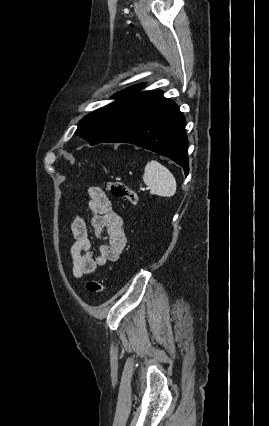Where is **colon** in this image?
Listing matches in <instances>:
<instances>
[{"label": "colon", "instance_id": "obj_1", "mask_svg": "<svg viewBox=\"0 0 269 426\" xmlns=\"http://www.w3.org/2000/svg\"><path fill=\"white\" fill-rule=\"evenodd\" d=\"M108 190L112 196L116 198L125 199L131 205H136L138 202V196L134 190L129 188L126 184L120 181H108L106 183ZM86 288L91 294H102L105 290V286L102 282L98 280H88L86 283Z\"/></svg>", "mask_w": 269, "mask_h": 426}]
</instances>
